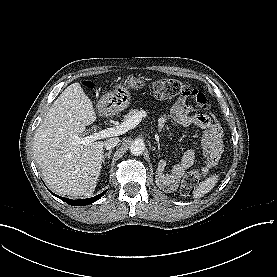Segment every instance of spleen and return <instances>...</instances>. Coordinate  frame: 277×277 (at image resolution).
Returning <instances> with one entry per match:
<instances>
[{"label":"spleen","instance_id":"3e777b00","mask_svg":"<svg viewBox=\"0 0 277 277\" xmlns=\"http://www.w3.org/2000/svg\"><path fill=\"white\" fill-rule=\"evenodd\" d=\"M218 182V175H212L205 179L194 191V198H200L203 197L205 194L210 192L216 183Z\"/></svg>","mask_w":277,"mask_h":277}]
</instances>
